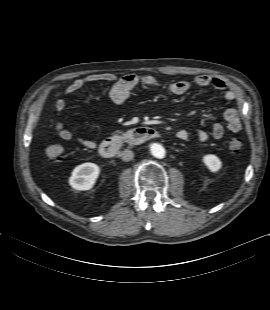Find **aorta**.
I'll return each mask as SVG.
<instances>
[{
  "instance_id": "obj_1",
  "label": "aorta",
  "mask_w": 270,
  "mask_h": 310,
  "mask_svg": "<svg viewBox=\"0 0 270 310\" xmlns=\"http://www.w3.org/2000/svg\"><path fill=\"white\" fill-rule=\"evenodd\" d=\"M151 153L154 157L162 159L165 157V149L160 144L154 143L151 145Z\"/></svg>"
}]
</instances>
